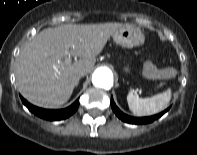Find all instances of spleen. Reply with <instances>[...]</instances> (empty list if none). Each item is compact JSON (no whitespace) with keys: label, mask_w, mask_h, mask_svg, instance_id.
Instances as JSON below:
<instances>
[{"label":"spleen","mask_w":197,"mask_h":155,"mask_svg":"<svg viewBox=\"0 0 197 155\" xmlns=\"http://www.w3.org/2000/svg\"><path fill=\"white\" fill-rule=\"evenodd\" d=\"M171 99V89L150 98H140L137 94L128 93L129 109L137 116L153 115L162 111Z\"/></svg>","instance_id":"3e777b00"}]
</instances>
